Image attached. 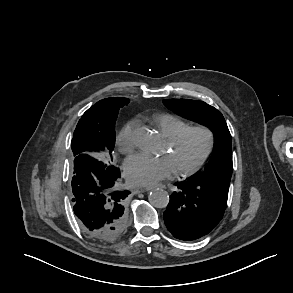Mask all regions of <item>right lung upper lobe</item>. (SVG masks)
Returning a JSON list of instances; mask_svg holds the SVG:
<instances>
[{
	"label": "right lung upper lobe",
	"mask_w": 293,
	"mask_h": 293,
	"mask_svg": "<svg viewBox=\"0 0 293 293\" xmlns=\"http://www.w3.org/2000/svg\"><path fill=\"white\" fill-rule=\"evenodd\" d=\"M121 99H125V98H106V99H103L99 102H97L95 105H93L90 109H88L84 116H86L88 113H91L93 111H98L102 106L106 105V104H109V103H112V102H116V101H119ZM81 154H87V155H90L92 157H95L94 153L93 152H88V153H81ZM81 154H78L76 155L75 157L81 155ZM96 158V157H95Z\"/></svg>",
	"instance_id": "cb5924a9"
}]
</instances>
